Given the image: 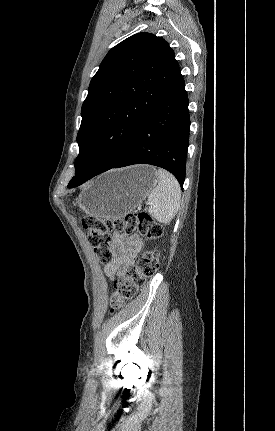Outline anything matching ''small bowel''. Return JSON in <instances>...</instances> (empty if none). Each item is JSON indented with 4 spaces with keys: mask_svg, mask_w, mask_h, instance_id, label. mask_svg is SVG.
<instances>
[{
    "mask_svg": "<svg viewBox=\"0 0 275 431\" xmlns=\"http://www.w3.org/2000/svg\"><path fill=\"white\" fill-rule=\"evenodd\" d=\"M141 246L142 241L139 236L115 232L111 240L114 255L111 262L104 268L105 275L110 279L123 275L126 269L132 265Z\"/></svg>",
    "mask_w": 275,
    "mask_h": 431,
    "instance_id": "c3829d8e",
    "label": "small bowel"
}]
</instances>
